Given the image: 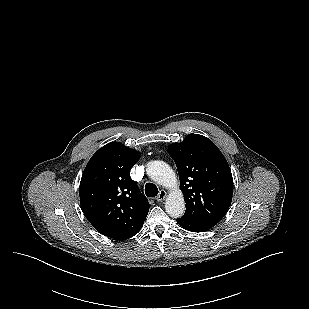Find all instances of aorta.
<instances>
[{
  "label": "aorta",
  "instance_id": "1",
  "mask_svg": "<svg viewBox=\"0 0 309 309\" xmlns=\"http://www.w3.org/2000/svg\"><path fill=\"white\" fill-rule=\"evenodd\" d=\"M146 172L151 180L173 190L165 203V210L169 216L173 218L183 216L185 212L184 197L178 188L177 177L170 166L163 161H151L147 164Z\"/></svg>",
  "mask_w": 309,
  "mask_h": 309
}]
</instances>
